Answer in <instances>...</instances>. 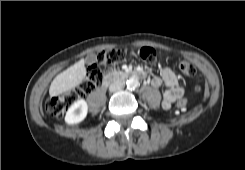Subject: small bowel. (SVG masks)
<instances>
[{
    "label": "small bowel",
    "mask_w": 245,
    "mask_h": 170,
    "mask_svg": "<svg viewBox=\"0 0 245 170\" xmlns=\"http://www.w3.org/2000/svg\"><path fill=\"white\" fill-rule=\"evenodd\" d=\"M162 79L155 77L151 80V85L159 88L162 85L166 86L162 95V107L168 110L172 107L173 103L184 96L185 89L179 85L175 75L168 68L162 70Z\"/></svg>",
    "instance_id": "c3829d8e"
}]
</instances>
